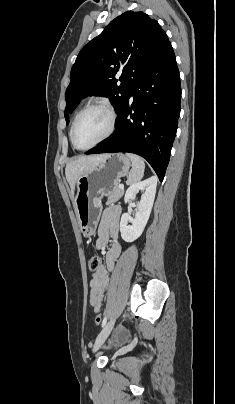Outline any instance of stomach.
<instances>
[{"label":"stomach","mask_w":235,"mask_h":404,"mask_svg":"<svg viewBox=\"0 0 235 404\" xmlns=\"http://www.w3.org/2000/svg\"><path fill=\"white\" fill-rule=\"evenodd\" d=\"M130 166L127 155L107 154L101 162L78 179L74 208L80 231L85 237L95 234L102 212L101 199L109 195L121 177L128 174Z\"/></svg>","instance_id":"stomach-1"}]
</instances>
